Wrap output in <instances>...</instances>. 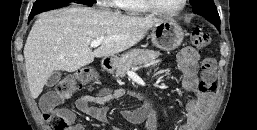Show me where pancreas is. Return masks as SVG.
<instances>
[{
    "instance_id": "obj_1",
    "label": "pancreas",
    "mask_w": 257,
    "mask_h": 130,
    "mask_svg": "<svg viewBox=\"0 0 257 130\" xmlns=\"http://www.w3.org/2000/svg\"><path fill=\"white\" fill-rule=\"evenodd\" d=\"M159 56L160 52L157 51L132 49L119 59L116 65V76L123 78L130 69L152 63Z\"/></svg>"
}]
</instances>
